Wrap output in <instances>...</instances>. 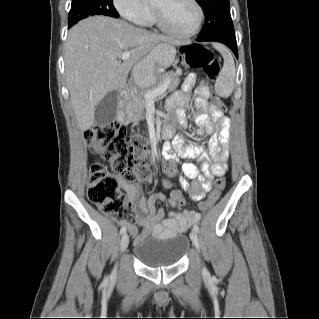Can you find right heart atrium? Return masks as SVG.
<instances>
[{
    "label": "right heart atrium",
    "instance_id": "right-heart-atrium-1",
    "mask_svg": "<svg viewBox=\"0 0 319 319\" xmlns=\"http://www.w3.org/2000/svg\"><path fill=\"white\" fill-rule=\"evenodd\" d=\"M117 11L129 22L145 25L149 14V6L143 0H114Z\"/></svg>",
    "mask_w": 319,
    "mask_h": 319
}]
</instances>
